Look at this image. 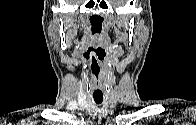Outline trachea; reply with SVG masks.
Listing matches in <instances>:
<instances>
[{
    "label": "trachea",
    "instance_id": "trachea-1",
    "mask_svg": "<svg viewBox=\"0 0 196 125\" xmlns=\"http://www.w3.org/2000/svg\"><path fill=\"white\" fill-rule=\"evenodd\" d=\"M95 102H96V104H101L102 103V101H100V100H95Z\"/></svg>",
    "mask_w": 196,
    "mask_h": 125
}]
</instances>
